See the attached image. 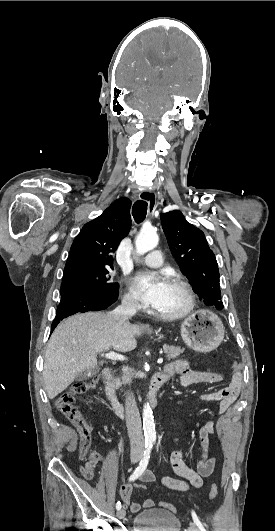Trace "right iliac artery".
<instances>
[{"label":"right iliac artery","mask_w":275,"mask_h":531,"mask_svg":"<svg viewBox=\"0 0 275 531\" xmlns=\"http://www.w3.org/2000/svg\"><path fill=\"white\" fill-rule=\"evenodd\" d=\"M152 446H153V440H147L145 442L144 456L142 460L140 461L138 467L135 469L134 473L130 476L129 478L130 481H134L135 479H137L146 469L149 458H150V452H151ZM116 509L117 510L121 509L120 501L116 503Z\"/></svg>","instance_id":"82829eb1"}]
</instances>
